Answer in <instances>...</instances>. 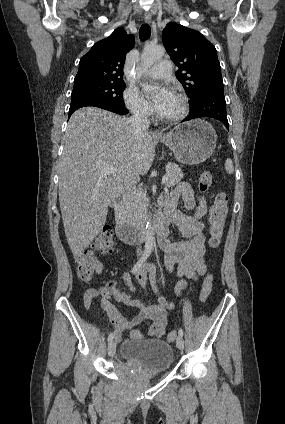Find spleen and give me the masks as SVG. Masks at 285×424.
<instances>
[{
    "label": "spleen",
    "mask_w": 285,
    "mask_h": 424,
    "mask_svg": "<svg viewBox=\"0 0 285 424\" xmlns=\"http://www.w3.org/2000/svg\"><path fill=\"white\" fill-rule=\"evenodd\" d=\"M225 170L227 171L228 174H232L234 172V166L231 159H227L225 161Z\"/></svg>",
    "instance_id": "3e777b00"
}]
</instances>
